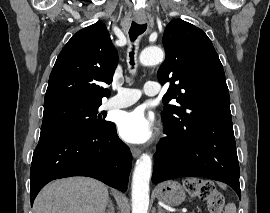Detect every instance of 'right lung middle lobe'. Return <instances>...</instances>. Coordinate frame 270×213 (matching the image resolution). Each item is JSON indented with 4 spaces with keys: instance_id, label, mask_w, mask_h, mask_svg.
Instances as JSON below:
<instances>
[{
    "instance_id": "right-lung-middle-lobe-1",
    "label": "right lung middle lobe",
    "mask_w": 270,
    "mask_h": 213,
    "mask_svg": "<svg viewBox=\"0 0 270 213\" xmlns=\"http://www.w3.org/2000/svg\"><path fill=\"white\" fill-rule=\"evenodd\" d=\"M101 103L66 100L44 106L42 128H59L78 132H98L110 122L98 113Z\"/></svg>"
}]
</instances>
